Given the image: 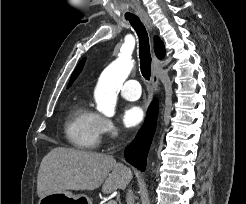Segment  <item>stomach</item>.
<instances>
[{
    "label": "stomach",
    "instance_id": "stomach-1",
    "mask_svg": "<svg viewBox=\"0 0 246 204\" xmlns=\"http://www.w3.org/2000/svg\"><path fill=\"white\" fill-rule=\"evenodd\" d=\"M38 204H92L86 195H76L70 191H61L40 198Z\"/></svg>",
    "mask_w": 246,
    "mask_h": 204
}]
</instances>
